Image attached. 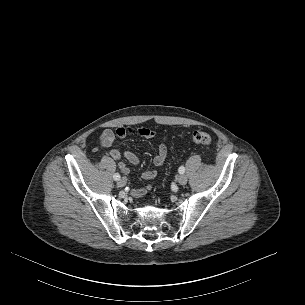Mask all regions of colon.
<instances>
[{"label": "colon", "instance_id": "obj_1", "mask_svg": "<svg viewBox=\"0 0 305 305\" xmlns=\"http://www.w3.org/2000/svg\"><path fill=\"white\" fill-rule=\"evenodd\" d=\"M188 138L195 143L207 146L211 145L212 142L210 135L201 131L191 133Z\"/></svg>", "mask_w": 305, "mask_h": 305}]
</instances>
